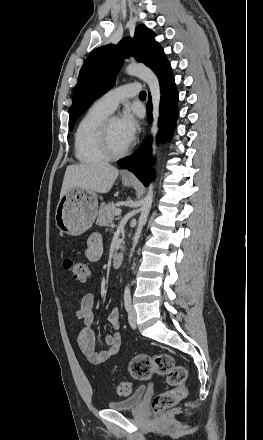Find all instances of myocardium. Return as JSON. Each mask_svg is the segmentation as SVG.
<instances>
[{
    "instance_id": "obj_1",
    "label": "myocardium",
    "mask_w": 263,
    "mask_h": 440,
    "mask_svg": "<svg viewBox=\"0 0 263 440\" xmlns=\"http://www.w3.org/2000/svg\"><path fill=\"white\" fill-rule=\"evenodd\" d=\"M116 118L115 116L108 115L106 116L100 123L98 129V145L101 152L107 157V159H117L125 156L131 145L129 144L126 148L121 151H114L109 142V124L112 119Z\"/></svg>"
}]
</instances>
